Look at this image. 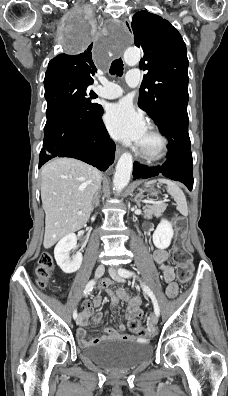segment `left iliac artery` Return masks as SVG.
Returning <instances> with one entry per match:
<instances>
[{
	"instance_id": "left-iliac-artery-1",
	"label": "left iliac artery",
	"mask_w": 228,
	"mask_h": 396,
	"mask_svg": "<svg viewBox=\"0 0 228 396\" xmlns=\"http://www.w3.org/2000/svg\"><path fill=\"white\" fill-rule=\"evenodd\" d=\"M118 273H119V275L121 277H124V278L135 276V274L132 271H129V270L123 269V268H120L118 270ZM142 287H143L144 292L151 298L153 306H154V312L159 317L160 316V309H159L158 302H157L153 292L144 283H142Z\"/></svg>"
}]
</instances>
